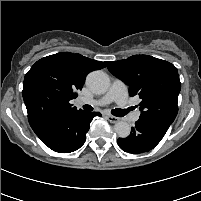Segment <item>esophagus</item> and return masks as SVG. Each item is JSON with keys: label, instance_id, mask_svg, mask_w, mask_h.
Returning <instances> with one entry per match:
<instances>
[{"label": "esophagus", "instance_id": "34e87169", "mask_svg": "<svg viewBox=\"0 0 201 201\" xmlns=\"http://www.w3.org/2000/svg\"><path fill=\"white\" fill-rule=\"evenodd\" d=\"M106 118L108 119V121H110L111 123H117L120 119L118 117L112 116V115H107Z\"/></svg>", "mask_w": 201, "mask_h": 201}]
</instances>
